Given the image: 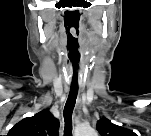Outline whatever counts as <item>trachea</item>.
<instances>
[{"instance_id": "1", "label": "trachea", "mask_w": 151, "mask_h": 136, "mask_svg": "<svg viewBox=\"0 0 151 136\" xmlns=\"http://www.w3.org/2000/svg\"><path fill=\"white\" fill-rule=\"evenodd\" d=\"M77 93H78V83H77V71H76L73 73V81L71 83L68 99L64 107V119H65L64 135L65 136H71L72 113L75 107Z\"/></svg>"}]
</instances>
